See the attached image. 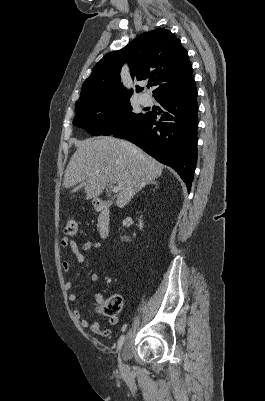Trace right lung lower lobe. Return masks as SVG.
<instances>
[{"label":"right lung lower lobe","instance_id":"right-lung-lower-lobe-1","mask_svg":"<svg viewBox=\"0 0 265 401\" xmlns=\"http://www.w3.org/2000/svg\"><path fill=\"white\" fill-rule=\"evenodd\" d=\"M160 103V119L146 113L114 137L126 139L159 162L172 167L191 189L197 162V90L195 81L187 88L155 98Z\"/></svg>","mask_w":265,"mask_h":401}]
</instances>
